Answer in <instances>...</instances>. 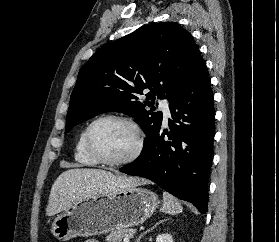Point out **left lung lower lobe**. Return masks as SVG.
<instances>
[{
  "mask_svg": "<svg viewBox=\"0 0 279 242\" xmlns=\"http://www.w3.org/2000/svg\"><path fill=\"white\" fill-rule=\"evenodd\" d=\"M170 110L175 122L169 119L170 132L160 129L151 147L119 171L148 178L205 214L209 201L215 110L210 78L200 52Z\"/></svg>",
  "mask_w": 279,
  "mask_h": 242,
  "instance_id": "left-lung-lower-lobe-1",
  "label": "left lung lower lobe"
}]
</instances>
